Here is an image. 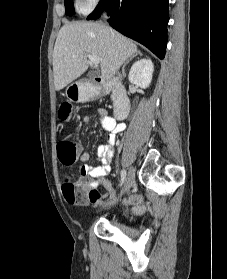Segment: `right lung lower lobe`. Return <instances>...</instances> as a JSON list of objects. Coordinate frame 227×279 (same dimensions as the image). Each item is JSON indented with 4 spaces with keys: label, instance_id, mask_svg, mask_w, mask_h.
<instances>
[{
    "label": "right lung lower lobe",
    "instance_id": "right-lung-lower-lobe-1",
    "mask_svg": "<svg viewBox=\"0 0 227 279\" xmlns=\"http://www.w3.org/2000/svg\"><path fill=\"white\" fill-rule=\"evenodd\" d=\"M103 10L110 16V26L143 44L160 59L164 58L168 0H101L87 19L99 18Z\"/></svg>",
    "mask_w": 227,
    "mask_h": 279
}]
</instances>
